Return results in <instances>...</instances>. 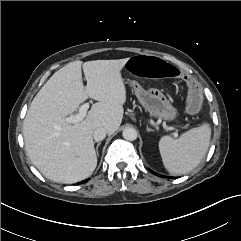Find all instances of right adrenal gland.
Masks as SVG:
<instances>
[{
	"label": "right adrenal gland",
	"mask_w": 241,
	"mask_h": 241,
	"mask_svg": "<svg viewBox=\"0 0 241 241\" xmlns=\"http://www.w3.org/2000/svg\"><path fill=\"white\" fill-rule=\"evenodd\" d=\"M100 144H101V143L99 142V143H97V145H96V153H97V156H99L98 148H99Z\"/></svg>",
	"instance_id": "1"
}]
</instances>
